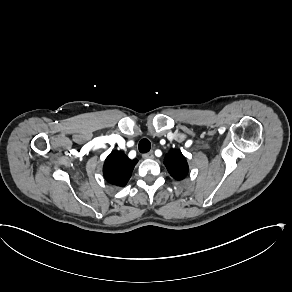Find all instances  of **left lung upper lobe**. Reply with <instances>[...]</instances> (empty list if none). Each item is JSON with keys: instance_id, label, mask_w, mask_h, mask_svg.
Masks as SVG:
<instances>
[{"instance_id": "obj_1", "label": "left lung upper lobe", "mask_w": 292, "mask_h": 292, "mask_svg": "<svg viewBox=\"0 0 292 292\" xmlns=\"http://www.w3.org/2000/svg\"><path fill=\"white\" fill-rule=\"evenodd\" d=\"M164 165L176 180H183L189 171L188 163L179 150L171 149L165 156Z\"/></svg>"}]
</instances>
